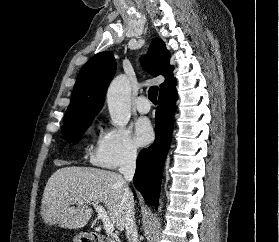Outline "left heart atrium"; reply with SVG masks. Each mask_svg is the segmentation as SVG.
<instances>
[{"instance_id":"1","label":"left heart atrium","mask_w":279,"mask_h":242,"mask_svg":"<svg viewBox=\"0 0 279 242\" xmlns=\"http://www.w3.org/2000/svg\"><path fill=\"white\" fill-rule=\"evenodd\" d=\"M153 138V129L148 118L142 117L135 124V141L138 145L144 146Z\"/></svg>"}]
</instances>
